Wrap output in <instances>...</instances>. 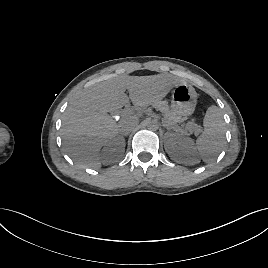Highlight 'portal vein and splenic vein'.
Listing matches in <instances>:
<instances>
[{"label":"portal vein and splenic vein","instance_id":"18ae733b","mask_svg":"<svg viewBox=\"0 0 268 268\" xmlns=\"http://www.w3.org/2000/svg\"><path fill=\"white\" fill-rule=\"evenodd\" d=\"M123 113H124V114H131V111L128 110V109H125V110L123 111ZM190 127H193L197 132L200 131L199 126L196 125V124H192V123H188V124H186V128H190Z\"/></svg>","mask_w":268,"mask_h":268}]
</instances>
